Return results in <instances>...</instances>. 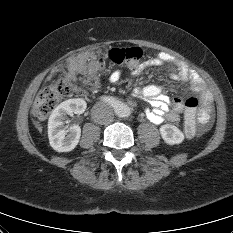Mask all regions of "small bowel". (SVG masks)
Here are the masks:
<instances>
[{
  "instance_id": "obj_1",
  "label": "small bowel",
  "mask_w": 233,
  "mask_h": 233,
  "mask_svg": "<svg viewBox=\"0 0 233 233\" xmlns=\"http://www.w3.org/2000/svg\"><path fill=\"white\" fill-rule=\"evenodd\" d=\"M167 63H174V59L169 54L161 52L157 56L136 65L133 73L138 75L147 67L161 66ZM74 66L77 70L82 71L85 68V58L79 57L76 59ZM171 71L173 79L189 82L191 88L199 94L200 107L196 111L195 129L196 132L198 129L200 132H205L210 127L212 114V96L210 91L200 76L188 67L177 64ZM121 76V71L115 70L109 74L108 80L110 83H117ZM163 90L161 85L137 87L134 90L136 96L144 97L149 101L151 108L146 111V116L150 122L157 125L166 121L177 122L180 120L183 111H185V105L181 99H170L164 94Z\"/></svg>"
}]
</instances>
